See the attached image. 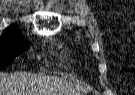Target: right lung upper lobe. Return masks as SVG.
<instances>
[{"label":"right lung upper lobe","mask_w":135,"mask_h":95,"mask_svg":"<svg viewBox=\"0 0 135 95\" xmlns=\"http://www.w3.org/2000/svg\"><path fill=\"white\" fill-rule=\"evenodd\" d=\"M14 33H19V31L14 27H8V28L5 29L2 37L7 36V35H11V34H14Z\"/></svg>","instance_id":"right-lung-upper-lobe-1"}]
</instances>
